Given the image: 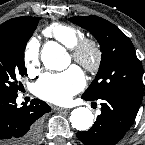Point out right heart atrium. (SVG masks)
I'll return each instance as SVG.
<instances>
[{
	"label": "right heart atrium",
	"instance_id": "obj_1",
	"mask_svg": "<svg viewBox=\"0 0 145 145\" xmlns=\"http://www.w3.org/2000/svg\"><path fill=\"white\" fill-rule=\"evenodd\" d=\"M23 58L27 70L35 72L39 66V42L32 38L25 46Z\"/></svg>",
	"mask_w": 145,
	"mask_h": 145
}]
</instances>
